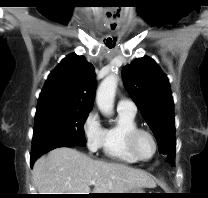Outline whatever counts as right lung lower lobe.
I'll return each instance as SVG.
<instances>
[{
	"label": "right lung lower lobe",
	"mask_w": 208,
	"mask_h": 198,
	"mask_svg": "<svg viewBox=\"0 0 208 198\" xmlns=\"http://www.w3.org/2000/svg\"><path fill=\"white\" fill-rule=\"evenodd\" d=\"M72 146H76V144L68 142V141H64V140H57L54 142H51L43 147H41L37 152L32 151L31 154V165H33L34 161L41 156L42 154H44L45 152L51 151L55 148H59V147H72Z\"/></svg>",
	"instance_id": "right-lung-lower-lobe-1"
}]
</instances>
